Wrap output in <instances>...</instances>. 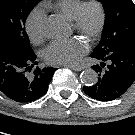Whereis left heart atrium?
Masks as SVG:
<instances>
[{
  "label": "left heart atrium",
  "instance_id": "left-heart-atrium-1",
  "mask_svg": "<svg viewBox=\"0 0 135 135\" xmlns=\"http://www.w3.org/2000/svg\"><path fill=\"white\" fill-rule=\"evenodd\" d=\"M85 41L74 38L52 42L44 51V59L49 64L75 65L87 52Z\"/></svg>",
  "mask_w": 135,
  "mask_h": 135
}]
</instances>
